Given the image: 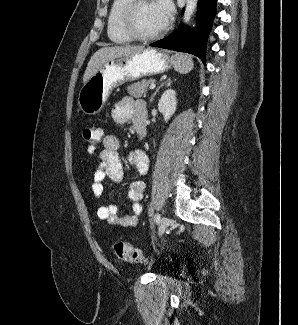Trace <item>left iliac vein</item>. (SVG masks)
I'll return each mask as SVG.
<instances>
[{
    "instance_id": "4c4485c4",
    "label": "left iliac vein",
    "mask_w": 298,
    "mask_h": 325,
    "mask_svg": "<svg viewBox=\"0 0 298 325\" xmlns=\"http://www.w3.org/2000/svg\"><path fill=\"white\" fill-rule=\"evenodd\" d=\"M169 226V219L167 217H162V219L159 222V227H158V234L159 236H162L166 229Z\"/></svg>"
}]
</instances>
